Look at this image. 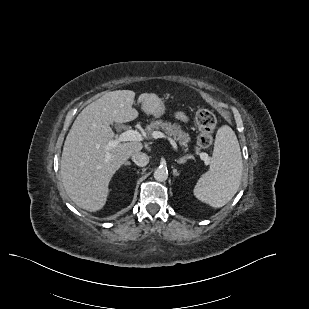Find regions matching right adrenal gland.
<instances>
[{"instance_id":"1","label":"right adrenal gland","mask_w":309,"mask_h":309,"mask_svg":"<svg viewBox=\"0 0 309 309\" xmlns=\"http://www.w3.org/2000/svg\"><path fill=\"white\" fill-rule=\"evenodd\" d=\"M124 165H125V166H126V165H131V162L126 161V162L124 163Z\"/></svg>"}]
</instances>
